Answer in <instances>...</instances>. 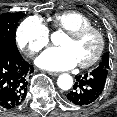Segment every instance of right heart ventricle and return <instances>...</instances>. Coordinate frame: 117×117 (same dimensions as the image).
Instances as JSON below:
<instances>
[{"mask_svg":"<svg viewBox=\"0 0 117 117\" xmlns=\"http://www.w3.org/2000/svg\"><path fill=\"white\" fill-rule=\"evenodd\" d=\"M51 20L54 28L65 32L91 25V20L78 11L56 13L52 16Z\"/></svg>","mask_w":117,"mask_h":117,"instance_id":"obj_1","label":"right heart ventricle"}]
</instances>
